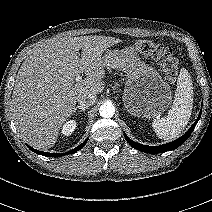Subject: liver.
Wrapping results in <instances>:
<instances>
[{"instance_id":"obj_1","label":"liver","mask_w":212,"mask_h":212,"mask_svg":"<svg viewBox=\"0 0 212 212\" xmlns=\"http://www.w3.org/2000/svg\"><path fill=\"white\" fill-rule=\"evenodd\" d=\"M119 42L109 36L55 37L27 56L16 77L11 109L18 131L31 146L53 147L78 95L103 91L102 54ZM81 73L86 78L76 81Z\"/></svg>"}]
</instances>
